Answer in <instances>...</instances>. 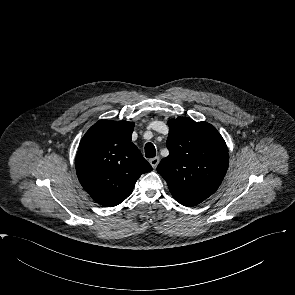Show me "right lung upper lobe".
I'll use <instances>...</instances> for the list:
<instances>
[{"mask_svg": "<svg viewBox=\"0 0 295 295\" xmlns=\"http://www.w3.org/2000/svg\"><path fill=\"white\" fill-rule=\"evenodd\" d=\"M134 123L100 120L82 138L75 159L78 179L91 198L105 206L120 204L151 165L131 142Z\"/></svg>", "mask_w": 295, "mask_h": 295, "instance_id": "obj_1", "label": "right lung upper lobe"}]
</instances>
